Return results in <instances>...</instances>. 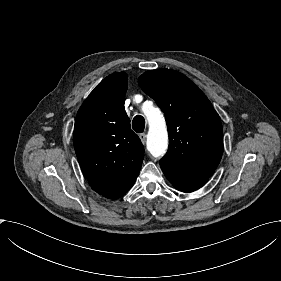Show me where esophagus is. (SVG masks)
I'll list each match as a JSON object with an SVG mask.
<instances>
[{"instance_id":"obj_1","label":"esophagus","mask_w":281,"mask_h":281,"mask_svg":"<svg viewBox=\"0 0 281 281\" xmlns=\"http://www.w3.org/2000/svg\"><path fill=\"white\" fill-rule=\"evenodd\" d=\"M139 137H140L142 143H145V141H146V134H145V133H141V134L139 135Z\"/></svg>"}]
</instances>
